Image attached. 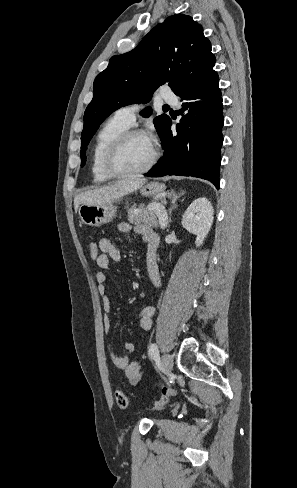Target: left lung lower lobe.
<instances>
[{
    "mask_svg": "<svg viewBox=\"0 0 297 488\" xmlns=\"http://www.w3.org/2000/svg\"><path fill=\"white\" fill-rule=\"evenodd\" d=\"M218 81L217 72H213L180 96L183 117L175 134L168 121L162 138L164 155L145 176H194L209 180L219 189L224 117Z\"/></svg>",
    "mask_w": 297,
    "mask_h": 488,
    "instance_id": "obj_1",
    "label": "left lung lower lobe"
}]
</instances>
